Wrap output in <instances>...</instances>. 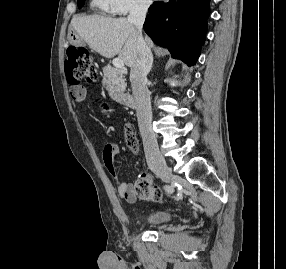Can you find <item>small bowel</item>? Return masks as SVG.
Wrapping results in <instances>:
<instances>
[{
    "instance_id": "1",
    "label": "small bowel",
    "mask_w": 286,
    "mask_h": 269,
    "mask_svg": "<svg viewBox=\"0 0 286 269\" xmlns=\"http://www.w3.org/2000/svg\"><path fill=\"white\" fill-rule=\"evenodd\" d=\"M109 93H122V88H109ZM71 97L77 103H83L86 98V92L83 88H73L71 90ZM115 99L119 98L118 94L114 95ZM119 153V148L114 144H108L103 150V162L107 170L113 175L117 176L115 157ZM149 178L150 176L147 175ZM117 192L120 197L124 198L128 202L136 201L135 187L133 184L117 180Z\"/></svg>"
}]
</instances>
